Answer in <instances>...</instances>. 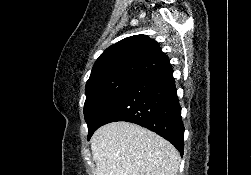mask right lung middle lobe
I'll return each instance as SVG.
<instances>
[{"instance_id":"1","label":"right lung middle lobe","mask_w":251,"mask_h":175,"mask_svg":"<svg viewBox=\"0 0 251 175\" xmlns=\"http://www.w3.org/2000/svg\"><path fill=\"white\" fill-rule=\"evenodd\" d=\"M137 81L139 79L135 77L120 75L86 84L84 117L88 125V140L98 128L101 117L111 104Z\"/></svg>"}]
</instances>
